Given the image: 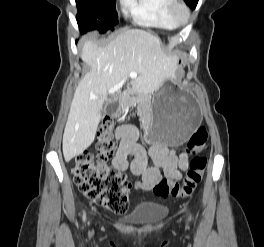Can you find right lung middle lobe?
Instances as JSON below:
<instances>
[{
	"mask_svg": "<svg viewBox=\"0 0 264 247\" xmlns=\"http://www.w3.org/2000/svg\"><path fill=\"white\" fill-rule=\"evenodd\" d=\"M77 22L81 33L95 28L102 32L118 23L115 0H76Z\"/></svg>",
	"mask_w": 264,
	"mask_h": 247,
	"instance_id": "dd1d6c3e",
	"label": "right lung middle lobe"
}]
</instances>
